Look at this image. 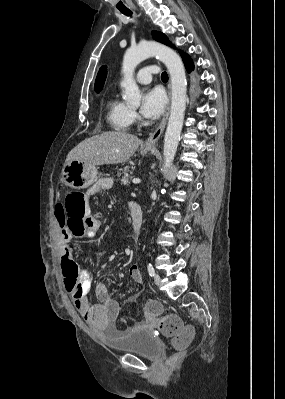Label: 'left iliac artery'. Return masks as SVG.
I'll list each match as a JSON object with an SVG mask.
<instances>
[{"label": "left iliac artery", "instance_id": "44dca946", "mask_svg": "<svg viewBox=\"0 0 285 399\" xmlns=\"http://www.w3.org/2000/svg\"><path fill=\"white\" fill-rule=\"evenodd\" d=\"M147 270H148L149 275H150L151 277H154V275H155V270H154V268H153V266H152L151 263H149V264L147 265Z\"/></svg>", "mask_w": 285, "mask_h": 399}]
</instances>
